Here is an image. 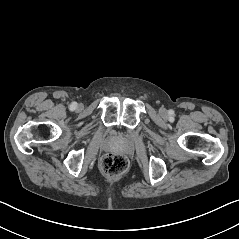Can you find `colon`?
I'll return each instance as SVG.
<instances>
[{
  "mask_svg": "<svg viewBox=\"0 0 239 239\" xmlns=\"http://www.w3.org/2000/svg\"><path fill=\"white\" fill-rule=\"evenodd\" d=\"M128 167V160L120 154L109 153L101 161L102 170L111 176L123 173Z\"/></svg>",
  "mask_w": 239,
  "mask_h": 239,
  "instance_id": "1",
  "label": "colon"
}]
</instances>
